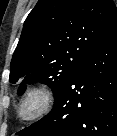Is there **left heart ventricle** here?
<instances>
[{"label": "left heart ventricle", "mask_w": 117, "mask_h": 136, "mask_svg": "<svg viewBox=\"0 0 117 136\" xmlns=\"http://www.w3.org/2000/svg\"><path fill=\"white\" fill-rule=\"evenodd\" d=\"M34 108V104H30L27 108H26V112H30L31 110H33Z\"/></svg>", "instance_id": "left-heart-ventricle-1"}]
</instances>
